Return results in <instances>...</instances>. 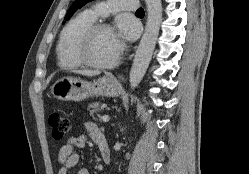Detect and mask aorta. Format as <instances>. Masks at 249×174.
I'll return each mask as SVG.
<instances>
[{"mask_svg":"<svg viewBox=\"0 0 249 174\" xmlns=\"http://www.w3.org/2000/svg\"><path fill=\"white\" fill-rule=\"evenodd\" d=\"M145 2L148 16L145 30L136 50L129 73L131 88L137 87L146 73L155 49L162 21L161 0H145Z\"/></svg>","mask_w":249,"mask_h":174,"instance_id":"obj_1","label":"aorta"}]
</instances>
